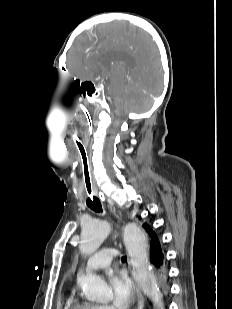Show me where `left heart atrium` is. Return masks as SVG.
<instances>
[{"mask_svg": "<svg viewBox=\"0 0 232 309\" xmlns=\"http://www.w3.org/2000/svg\"><path fill=\"white\" fill-rule=\"evenodd\" d=\"M112 301L117 309H126L136 299L132 282L122 272L114 271L109 275Z\"/></svg>", "mask_w": 232, "mask_h": 309, "instance_id": "left-heart-atrium-1", "label": "left heart atrium"}]
</instances>
